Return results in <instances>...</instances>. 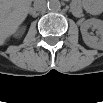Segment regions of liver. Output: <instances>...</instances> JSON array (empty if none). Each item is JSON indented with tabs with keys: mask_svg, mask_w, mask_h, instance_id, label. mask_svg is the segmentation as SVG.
Segmentation results:
<instances>
[{
	"mask_svg": "<svg viewBox=\"0 0 103 103\" xmlns=\"http://www.w3.org/2000/svg\"><path fill=\"white\" fill-rule=\"evenodd\" d=\"M30 2L25 0H5L1 2L0 40L6 39L16 32L28 15Z\"/></svg>",
	"mask_w": 103,
	"mask_h": 103,
	"instance_id": "6515ba94",
	"label": "liver"
}]
</instances>
